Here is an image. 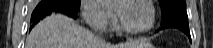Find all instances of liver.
<instances>
[{
	"mask_svg": "<svg viewBox=\"0 0 213 48\" xmlns=\"http://www.w3.org/2000/svg\"><path fill=\"white\" fill-rule=\"evenodd\" d=\"M149 45L146 40L118 45L106 43L62 14L46 17L26 38V48H137Z\"/></svg>",
	"mask_w": 213,
	"mask_h": 48,
	"instance_id": "obj_1",
	"label": "liver"
}]
</instances>
